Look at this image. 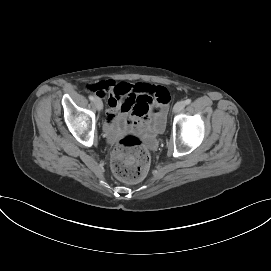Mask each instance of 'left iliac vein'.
Here are the masks:
<instances>
[{
  "mask_svg": "<svg viewBox=\"0 0 271 271\" xmlns=\"http://www.w3.org/2000/svg\"><path fill=\"white\" fill-rule=\"evenodd\" d=\"M185 101H179L177 102L174 107H173V112L174 113H179L180 111H182L185 107Z\"/></svg>",
  "mask_w": 271,
  "mask_h": 271,
  "instance_id": "4c4485c4",
  "label": "left iliac vein"
}]
</instances>
